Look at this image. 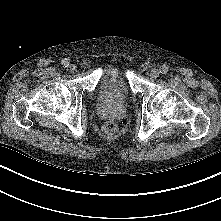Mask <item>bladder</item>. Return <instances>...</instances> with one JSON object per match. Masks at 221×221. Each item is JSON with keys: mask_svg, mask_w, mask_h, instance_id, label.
<instances>
[{"mask_svg": "<svg viewBox=\"0 0 221 221\" xmlns=\"http://www.w3.org/2000/svg\"><path fill=\"white\" fill-rule=\"evenodd\" d=\"M97 94L104 101H128L131 89L127 66L120 62L108 64L98 83Z\"/></svg>", "mask_w": 221, "mask_h": 221, "instance_id": "obj_1", "label": "bladder"}]
</instances>
